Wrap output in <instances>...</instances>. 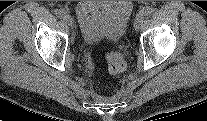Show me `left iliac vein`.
<instances>
[{
    "label": "left iliac vein",
    "mask_w": 207,
    "mask_h": 121,
    "mask_svg": "<svg viewBox=\"0 0 207 121\" xmlns=\"http://www.w3.org/2000/svg\"><path fill=\"white\" fill-rule=\"evenodd\" d=\"M143 19L144 18H143L142 14H138L136 16L135 21H134V27H135L136 30H138L141 27V25L143 23Z\"/></svg>",
    "instance_id": "obj_1"
}]
</instances>
